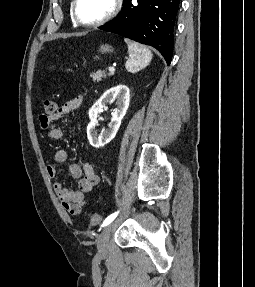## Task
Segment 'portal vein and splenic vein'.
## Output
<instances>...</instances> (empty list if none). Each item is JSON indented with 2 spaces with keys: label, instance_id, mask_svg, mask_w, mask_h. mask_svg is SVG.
Returning a JSON list of instances; mask_svg holds the SVG:
<instances>
[{
  "label": "portal vein and splenic vein",
  "instance_id": "1",
  "mask_svg": "<svg viewBox=\"0 0 255 287\" xmlns=\"http://www.w3.org/2000/svg\"><path fill=\"white\" fill-rule=\"evenodd\" d=\"M109 72H115V68H113V66H110Z\"/></svg>",
  "mask_w": 255,
  "mask_h": 287
}]
</instances>
